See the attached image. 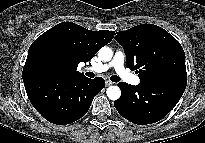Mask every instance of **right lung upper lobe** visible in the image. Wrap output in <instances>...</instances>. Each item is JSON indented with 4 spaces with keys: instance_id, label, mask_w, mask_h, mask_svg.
I'll use <instances>...</instances> for the list:
<instances>
[{
    "instance_id": "1",
    "label": "right lung upper lobe",
    "mask_w": 205,
    "mask_h": 143,
    "mask_svg": "<svg viewBox=\"0 0 205 143\" xmlns=\"http://www.w3.org/2000/svg\"><path fill=\"white\" fill-rule=\"evenodd\" d=\"M114 37L113 31H91L72 22H62L39 36L30 46L23 73L44 69L38 62L39 53L47 47L57 49L62 60L55 71L68 77H85L76 69L87 62ZM47 70V69H44Z\"/></svg>"
}]
</instances>
